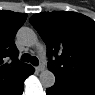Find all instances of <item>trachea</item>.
Masks as SVG:
<instances>
[{"mask_svg": "<svg viewBox=\"0 0 95 95\" xmlns=\"http://www.w3.org/2000/svg\"><path fill=\"white\" fill-rule=\"evenodd\" d=\"M21 60L24 62H30L34 66H37L39 64L38 58L35 56H31L28 53H24L21 57Z\"/></svg>", "mask_w": 95, "mask_h": 95, "instance_id": "1", "label": "trachea"}]
</instances>
